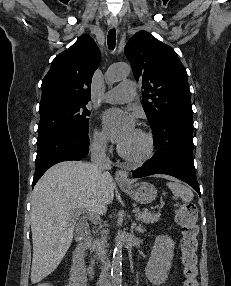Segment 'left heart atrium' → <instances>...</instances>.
<instances>
[{
  "instance_id": "obj_1",
  "label": "left heart atrium",
  "mask_w": 231,
  "mask_h": 286,
  "mask_svg": "<svg viewBox=\"0 0 231 286\" xmlns=\"http://www.w3.org/2000/svg\"><path fill=\"white\" fill-rule=\"evenodd\" d=\"M103 124L111 139L120 146L128 142L136 132L134 119L116 108L103 114Z\"/></svg>"
}]
</instances>
